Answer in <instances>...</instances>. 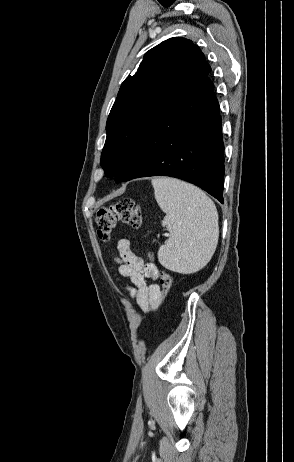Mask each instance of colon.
Segmentation results:
<instances>
[{
    "mask_svg": "<svg viewBox=\"0 0 294 462\" xmlns=\"http://www.w3.org/2000/svg\"><path fill=\"white\" fill-rule=\"evenodd\" d=\"M139 227L141 214L139 207L132 199H123L107 207L100 208L96 214L97 235L106 241L110 238L118 224ZM162 292L166 294L173 285V278L168 273L160 274Z\"/></svg>",
    "mask_w": 294,
    "mask_h": 462,
    "instance_id": "1",
    "label": "colon"
}]
</instances>
